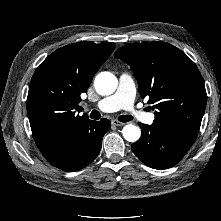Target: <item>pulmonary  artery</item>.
<instances>
[{
	"mask_svg": "<svg viewBox=\"0 0 221 221\" xmlns=\"http://www.w3.org/2000/svg\"><path fill=\"white\" fill-rule=\"evenodd\" d=\"M135 85L132 77L128 74H122L119 78L117 91L95 104V109L101 112H116L126 110L133 119L152 124L155 115L146 113L134 105Z\"/></svg>",
	"mask_w": 221,
	"mask_h": 221,
	"instance_id": "e3ab8cb5",
	"label": "pulmonary artery"
}]
</instances>
